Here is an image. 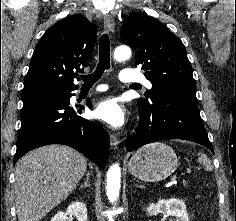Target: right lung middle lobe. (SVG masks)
Instances as JSON below:
<instances>
[{"instance_id": "right-lung-middle-lobe-1", "label": "right lung middle lobe", "mask_w": 236, "mask_h": 221, "mask_svg": "<svg viewBox=\"0 0 236 221\" xmlns=\"http://www.w3.org/2000/svg\"><path fill=\"white\" fill-rule=\"evenodd\" d=\"M67 94H68L67 90L48 89V90H41V91L21 94V96H22V101L24 102L30 99L41 98V97H66Z\"/></svg>"}]
</instances>
